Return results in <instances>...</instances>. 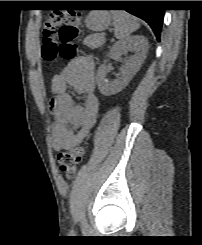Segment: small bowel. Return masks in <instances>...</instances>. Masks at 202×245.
Here are the masks:
<instances>
[{
    "mask_svg": "<svg viewBox=\"0 0 202 245\" xmlns=\"http://www.w3.org/2000/svg\"><path fill=\"white\" fill-rule=\"evenodd\" d=\"M95 63L91 59L77 58L67 63L52 79L54 99L50 110L54 116L52 146L59 154L79 145L94 126L100 101L94 93ZM83 97L78 103L67 92L68 87Z\"/></svg>",
    "mask_w": 202,
    "mask_h": 245,
    "instance_id": "1",
    "label": "small bowel"
}]
</instances>
